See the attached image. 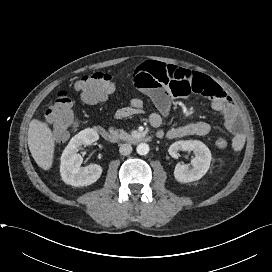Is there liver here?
Instances as JSON below:
<instances>
[{
    "label": "liver",
    "instance_id": "liver-1",
    "mask_svg": "<svg viewBox=\"0 0 272 272\" xmlns=\"http://www.w3.org/2000/svg\"><path fill=\"white\" fill-rule=\"evenodd\" d=\"M29 150L38 166L49 170L53 164L55 140L51 129L42 121L33 119L28 129Z\"/></svg>",
    "mask_w": 272,
    "mask_h": 272
}]
</instances>
